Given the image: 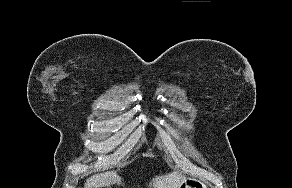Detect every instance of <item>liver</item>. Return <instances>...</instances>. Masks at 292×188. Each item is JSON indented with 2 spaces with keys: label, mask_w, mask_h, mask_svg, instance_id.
<instances>
[{
  "label": "liver",
  "mask_w": 292,
  "mask_h": 188,
  "mask_svg": "<svg viewBox=\"0 0 292 188\" xmlns=\"http://www.w3.org/2000/svg\"><path fill=\"white\" fill-rule=\"evenodd\" d=\"M184 179L183 175L174 171L153 178L149 183V188H179ZM113 181H116L118 185L121 183V178L114 171L96 174L86 180L85 188H102L113 183Z\"/></svg>",
  "instance_id": "6515ba94"
}]
</instances>
